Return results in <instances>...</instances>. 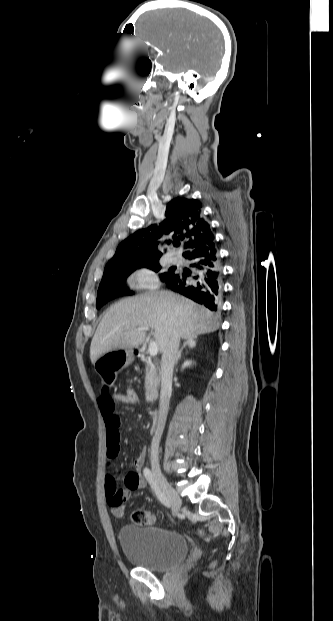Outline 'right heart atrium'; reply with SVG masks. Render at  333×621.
<instances>
[{
	"label": "right heart atrium",
	"mask_w": 333,
	"mask_h": 621,
	"mask_svg": "<svg viewBox=\"0 0 333 621\" xmlns=\"http://www.w3.org/2000/svg\"><path fill=\"white\" fill-rule=\"evenodd\" d=\"M129 283L133 289L151 290L157 288L159 280L152 269L141 267L131 275Z\"/></svg>",
	"instance_id": "1"
}]
</instances>
